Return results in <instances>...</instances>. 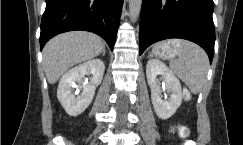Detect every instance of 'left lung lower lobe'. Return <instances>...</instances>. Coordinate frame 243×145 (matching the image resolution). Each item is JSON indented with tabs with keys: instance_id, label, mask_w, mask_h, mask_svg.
Returning <instances> with one entry per match:
<instances>
[{
	"instance_id": "1",
	"label": "left lung lower lobe",
	"mask_w": 243,
	"mask_h": 145,
	"mask_svg": "<svg viewBox=\"0 0 243 145\" xmlns=\"http://www.w3.org/2000/svg\"><path fill=\"white\" fill-rule=\"evenodd\" d=\"M213 0H143L140 55L154 42L182 38L200 45L210 62L214 55Z\"/></svg>"
}]
</instances>
